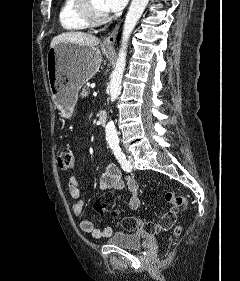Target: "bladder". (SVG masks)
I'll use <instances>...</instances> for the list:
<instances>
[{
  "mask_svg": "<svg viewBox=\"0 0 240 281\" xmlns=\"http://www.w3.org/2000/svg\"><path fill=\"white\" fill-rule=\"evenodd\" d=\"M145 241V235L139 232H117L109 238L108 243L123 249L139 250Z\"/></svg>",
  "mask_w": 240,
  "mask_h": 281,
  "instance_id": "1",
  "label": "bladder"
}]
</instances>
